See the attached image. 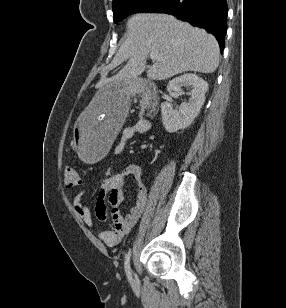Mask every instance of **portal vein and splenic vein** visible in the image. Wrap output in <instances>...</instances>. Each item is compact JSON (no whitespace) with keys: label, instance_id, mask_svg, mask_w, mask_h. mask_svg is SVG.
<instances>
[{"label":"portal vein and splenic vein","instance_id":"obj_1","mask_svg":"<svg viewBox=\"0 0 286 308\" xmlns=\"http://www.w3.org/2000/svg\"><path fill=\"white\" fill-rule=\"evenodd\" d=\"M149 56H150L151 59H154V60H159V59L162 58L157 50L151 51Z\"/></svg>","mask_w":286,"mask_h":308}]
</instances>
